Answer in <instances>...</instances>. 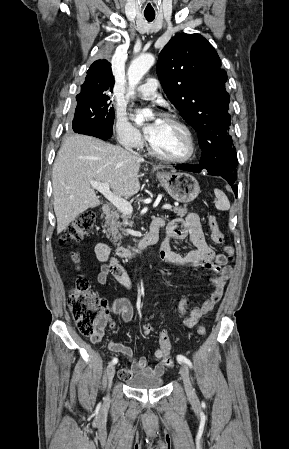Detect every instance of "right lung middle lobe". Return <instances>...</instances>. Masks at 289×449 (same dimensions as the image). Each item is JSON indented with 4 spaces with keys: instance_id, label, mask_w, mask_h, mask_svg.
<instances>
[{
    "instance_id": "dd1d6c3e",
    "label": "right lung middle lobe",
    "mask_w": 289,
    "mask_h": 449,
    "mask_svg": "<svg viewBox=\"0 0 289 449\" xmlns=\"http://www.w3.org/2000/svg\"><path fill=\"white\" fill-rule=\"evenodd\" d=\"M76 100L78 104L73 119L74 132L88 127L108 135L113 133L115 113L105 92L78 94Z\"/></svg>"
}]
</instances>
